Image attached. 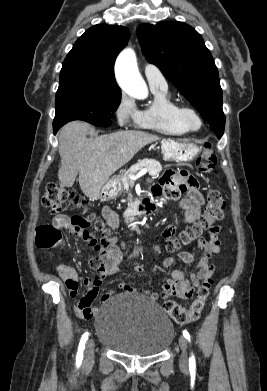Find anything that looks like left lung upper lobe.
<instances>
[{
	"mask_svg": "<svg viewBox=\"0 0 267 391\" xmlns=\"http://www.w3.org/2000/svg\"><path fill=\"white\" fill-rule=\"evenodd\" d=\"M137 37L146 59L159 67L221 137L225 127L222 89L201 35L185 23L162 22L140 25Z\"/></svg>",
	"mask_w": 267,
	"mask_h": 391,
	"instance_id": "1",
	"label": "left lung upper lobe"
}]
</instances>
